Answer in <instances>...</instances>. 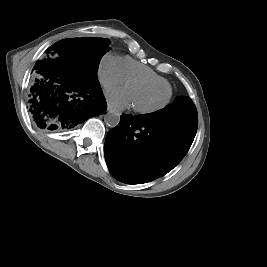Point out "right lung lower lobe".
<instances>
[{
    "label": "right lung lower lobe",
    "instance_id": "obj_1",
    "mask_svg": "<svg viewBox=\"0 0 267 267\" xmlns=\"http://www.w3.org/2000/svg\"><path fill=\"white\" fill-rule=\"evenodd\" d=\"M49 58L34 66L28 108L41 129L64 131L107 109L99 81L84 76L72 60L48 51Z\"/></svg>",
    "mask_w": 267,
    "mask_h": 267
}]
</instances>
